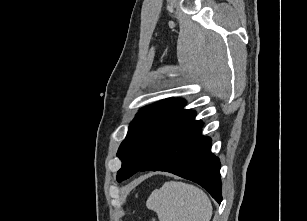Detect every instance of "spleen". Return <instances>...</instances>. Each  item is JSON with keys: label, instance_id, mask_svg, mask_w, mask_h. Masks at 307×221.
I'll use <instances>...</instances> for the list:
<instances>
[{"label": "spleen", "instance_id": "spleen-1", "mask_svg": "<svg viewBox=\"0 0 307 221\" xmlns=\"http://www.w3.org/2000/svg\"><path fill=\"white\" fill-rule=\"evenodd\" d=\"M148 209L156 212L160 221H210L212 204L199 188L184 182H165L147 199Z\"/></svg>", "mask_w": 307, "mask_h": 221}]
</instances>
